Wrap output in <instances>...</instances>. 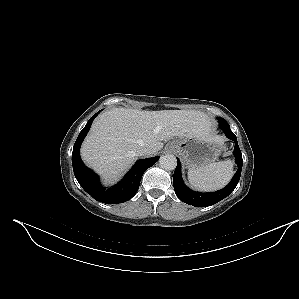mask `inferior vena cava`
<instances>
[{
    "label": "inferior vena cava",
    "instance_id": "1",
    "mask_svg": "<svg viewBox=\"0 0 299 299\" xmlns=\"http://www.w3.org/2000/svg\"><path fill=\"white\" fill-rule=\"evenodd\" d=\"M150 154H151V150L149 148L144 147L138 150V155L140 156H146Z\"/></svg>",
    "mask_w": 299,
    "mask_h": 299
}]
</instances>
